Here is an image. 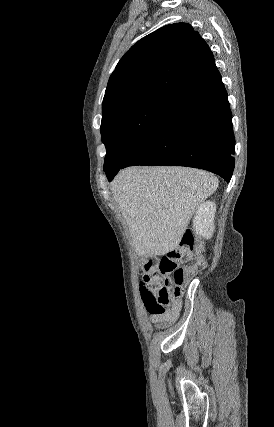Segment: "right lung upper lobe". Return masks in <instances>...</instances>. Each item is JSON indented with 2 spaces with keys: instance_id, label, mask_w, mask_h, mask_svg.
Listing matches in <instances>:
<instances>
[{
  "instance_id": "right-lung-upper-lobe-1",
  "label": "right lung upper lobe",
  "mask_w": 274,
  "mask_h": 427,
  "mask_svg": "<svg viewBox=\"0 0 274 427\" xmlns=\"http://www.w3.org/2000/svg\"><path fill=\"white\" fill-rule=\"evenodd\" d=\"M219 74L204 39L188 23L166 25L133 45L111 74L102 113L150 94L180 98Z\"/></svg>"
}]
</instances>
